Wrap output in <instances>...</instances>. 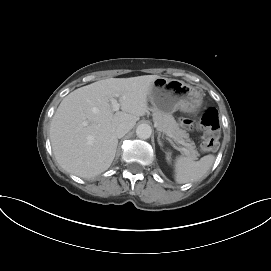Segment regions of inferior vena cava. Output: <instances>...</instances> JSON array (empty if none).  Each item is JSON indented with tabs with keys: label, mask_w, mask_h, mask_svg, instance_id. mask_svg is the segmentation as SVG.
Wrapping results in <instances>:
<instances>
[{
	"label": "inferior vena cava",
	"mask_w": 271,
	"mask_h": 271,
	"mask_svg": "<svg viewBox=\"0 0 271 271\" xmlns=\"http://www.w3.org/2000/svg\"><path fill=\"white\" fill-rule=\"evenodd\" d=\"M132 125L130 123H121L117 126L116 128V136L118 138L123 137L125 134H127L131 129H132Z\"/></svg>",
	"instance_id": "602c4592"
}]
</instances>
